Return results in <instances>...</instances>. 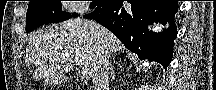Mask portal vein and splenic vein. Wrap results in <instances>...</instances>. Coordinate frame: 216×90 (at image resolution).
Here are the masks:
<instances>
[{
	"label": "portal vein and splenic vein",
	"instance_id": "portal-vein-and-splenic-vein-1",
	"mask_svg": "<svg viewBox=\"0 0 216 90\" xmlns=\"http://www.w3.org/2000/svg\"><path fill=\"white\" fill-rule=\"evenodd\" d=\"M76 66H81V62L79 60V62H75ZM82 78H89V74H87V72H84L83 76H81V80Z\"/></svg>",
	"mask_w": 216,
	"mask_h": 90
}]
</instances>
